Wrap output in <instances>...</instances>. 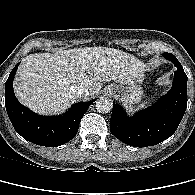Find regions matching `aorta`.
<instances>
[{
    "label": "aorta",
    "mask_w": 195,
    "mask_h": 195,
    "mask_svg": "<svg viewBox=\"0 0 195 195\" xmlns=\"http://www.w3.org/2000/svg\"><path fill=\"white\" fill-rule=\"evenodd\" d=\"M113 103L110 99L100 98L96 101L95 107L99 113H109Z\"/></svg>",
    "instance_id": "obj_1"
}]
</instances>
